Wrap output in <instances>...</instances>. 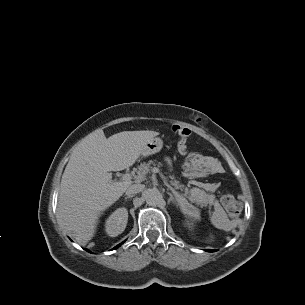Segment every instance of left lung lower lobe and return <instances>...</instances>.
<instances>
[{"instance_id": "1", "label": "left lung lower lobe", "mask_w": 305, "mask_h": 305, "mask_svg": "<svg viewBox=\"0 0 305 305\" xmlns=\"http://www.w3.org/2000/svg\"><path fill=\"white\" fill-rule=\"evenodd\" d=\"M207 251H209V252H213V251H215V250H210V249H208Z\"/></svg>"}]
</instances>
